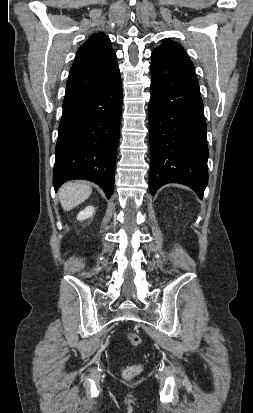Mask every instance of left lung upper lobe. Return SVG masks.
<instances>
[{"label": "left lung upper lobe", "instance_id": "obj_1", "mask_svg": "<svg viewBox=\"0 0 253 413\" xmlns=\"http://www.w3.org/2000/svg\"><path fill=\"white\" fill-rule=\"evenodd\" d=\"M156 50H161L166 53H169L173 57H175L178 61L181 63L187 65L189 68H191L194 71V65L189 59L187 53L183 49V47L173 41H165L163 42L160 46L156 48Z\"/></svg>", "mask_w": 253, "mask_h": 413}]
</instances>
